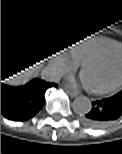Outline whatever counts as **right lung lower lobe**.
Wrapping results in <instances>:
<instances>
[{
	"mask_svg": "<svg viewBox=\"0 0 122 154\" xmlns=\"http://www.w3.org/2000/svg\"><path fill=\"white\" fill-rule=\"evenodd\" d=\"M52 86L57 87L38 79L16 87L1 83V114L14 121H25L34 117L43 108L44 94Z\"/></svg>",
	"mask_w": 122,
	"mask_h": 154,
	"instance_id": "obj_1",
	"label": "right lung lower lobe"
}]
</instances>
